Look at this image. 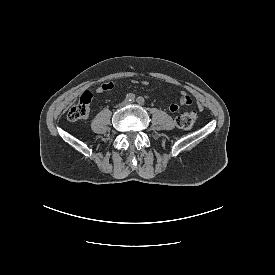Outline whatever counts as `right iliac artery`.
Here are the masks:
<instances>
[{
	"instance_id": "1",
	"label": "right iliac artery",
	"mask_w": 275,
	"mask_h": 275,
	"mask_svg": "<svg viewBox=\"0 0 275 275\" xmlns=\"http://www.w3.org/2000/svg\"><path fill=\"white\" fill-rule=\"evenodd\" d=\"M134 99H135V95L134 94L130 93V94L127 95V100L128 101H134Z\"/></svg>"
}]
</instances>
